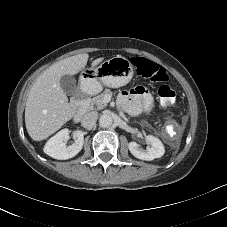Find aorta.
I'll return each instance as SVG.
<instances>
[{"label": "aorta", "mask_w": 227, "mask_h": 227, "mask_svg": "<svg viewBox=\"0 0 227 227\" xmlns=\"http://www.w3.org/2000/svg\"><path fill=\"white\" fill-rule=\"evenodd\" d=\"M112 117L108 114H103L99 118V125L103 128H108L112 125Z\"/></svg>", "instance_id": "obj_1"}]
</instances>
